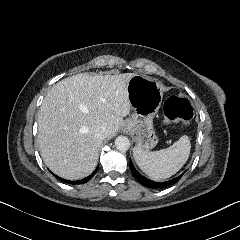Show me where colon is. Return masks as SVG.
Instances as JSON below:
<instances>
[{
    "instance_id": "colon-1",
    "label": "colon",
    "mask_w": 240,
    "mask_h": 240,
    "mask_svg": "<svg viewBox=\"0 0 240 240\" xmlns=\"http://www.w3.org/2000/svg\"><path fill=\"white\" fill-rule=\"evenodd\" d=\"M162 123L170 121L184 120L188 121L193 117V108L188 99L183 96L171 97L163 106Z\"/></svg>"
}]
</instances>
